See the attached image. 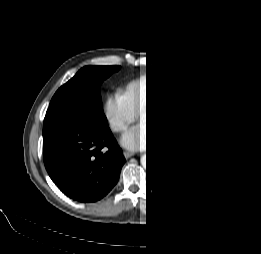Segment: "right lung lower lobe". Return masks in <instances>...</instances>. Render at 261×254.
Wrapping results in <instances>:
<instances>
[{
    "instance_id": "right-lung-lower-lobe-1",
    "label": "right lung lower lobe",
    "mask_w": 261,
    "mask_h": 254,
    "mask_svg": "<svg viewBox=\"0 0 261 254\" xmlns=\"http://www.w3.org/2000/svg\"><path fill=\"white\" fill-rule=\"evenodd\" d=\"M43 159L52 181L80 202L103 198L117 183L125 163L108 127L95 126L68 110L46 113Z\"/></svg>"
}]
</instances>
